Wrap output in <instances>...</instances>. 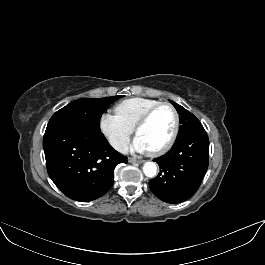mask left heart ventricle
I'll use <instances>...</instances> for the list:
<instances>
[{"label":"left heart ventricle","mask_w":265,"mask_h":265,"mask_svg":"<svg viewBox=\"0 0 265 265\" xmlns=\"http://www.w3.org/2000/svg\"><path fill=\"white\" fill-rule=\"evenodd\" d=\"M174 127V116L169 108L158 110L139 131L137 136L146 144L148 150L163 145Z\"/></svg>","instance_id":"b2bd125f"}]
</instances>
